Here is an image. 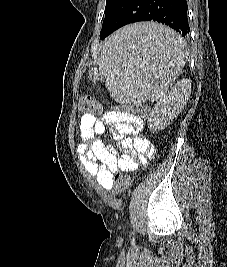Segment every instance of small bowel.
Here are the masks:
<instances>
[{"label":"small bowel","mask_w":227,"mask_h":267,"mask_svg":"<svg viewBox=\"0 0 227 267\" xmlns=\"http://www.w3.org/2000/svg\"><path fill=\"white\" fill-rule=\"evenodd\" d=\"M110 127L119 147L106 145L102 136ZM143 121L139 116L122 111H110L102 116L85 113L79 121L78 157L84 169L106 189L114 188L112 173L120 169L135 171L146 166L155 155L152 142L140 135Z\"/></svg>","instance_id":"obj_1"}]
</instances>
